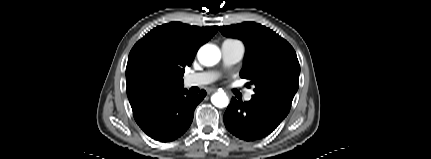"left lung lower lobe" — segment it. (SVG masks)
<instances>
[{"label": "left lung lower lobe", "mask_w": 431, "mask_h": 159, "mask_svg": "<svg viewBox=\"0 0 431 159\" xmlns=\"http://www.w3.org/2000/svg\"><path fill=\"white\" fill-rule=\"evenodd\" d=\"M289 110L274 100L252 97L243 103L232 98L224 113V123L228 131L239 139L254 141L275 130Z\"/></svg>", "instance_id": "0a47b994"}]
</instances>
